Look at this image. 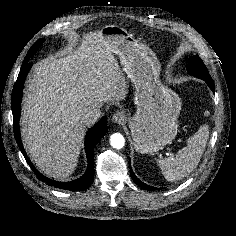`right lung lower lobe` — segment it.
Segmentation results:
<instances>
[{"label":"right lung lower lobe","mask_w":236,"mask_h":236,"mask_svg":"<svg viewBox=\"0 0 236 236\" xmlns=\"http://www.w3.org/2000/svg\"><path fill=\"white\" fill-rule=\"evenodd\" d=\"M32 64L27 62H23V65L20 69L18 78L14 85L11 97V107L13 113V127H14V134L20 148L21 152L23 153L26 161L28 162L29 166L36 174V176L57 188L64 189V190H71V191H82L86 189L92 182H93V175H94V147L98 143V141L105 135L107 132V117H103L94 127H92L85 138V150L88 160V168L86 173L79 179L70 181V182H58L51 180L45 176H43L39 171L35 169L33 164L31 163L30 159L28 158L20 137V130H19V119H20V106H21V98L22 92L24 87L25 78L31 68Z\"/></svg>","instance_id":"right-lung-lower-lobe-1"}]
</instances>
